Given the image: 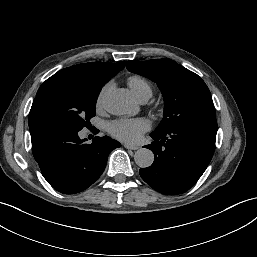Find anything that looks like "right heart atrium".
<instances>
[{
	"label": "right heart atrium",
	"instance_id": "1",
	"mask_svg": "<svg viewBox=\"0 0 257 257\" xmlns=\"http://www.w3.org/2000/svg\"><path fill=\"white\" fill-rule=\"evenodd\" d=\"M107 86H105L101 92L99 93L98 95V98H97V102H96V105L98 108H100L102 106V103H103V97H104V93H105V90H106Z\"/></svg>",
	"mask_w": 257,
	"mask_h": 257
}]
</instances>
